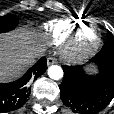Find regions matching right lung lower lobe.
<instances>
[{"label": "right lung lower lobe", "mask_w": 114, "mask_h": 114, "mask_svg": "<svg viewBox=\"0 0 114 114\" xmlns=\"http://www.w3.org/2000/svg\"><path fill=\"white\" fill-rule=\"evenodd\" d=\"M47 69L46 58L42 57L19 80L0 83V113L11 112L22 107L31 92L30 82L36 80Z\"/></svg>", "instance_id": "right-lung-lower-lobe-1"}]
</instances>
